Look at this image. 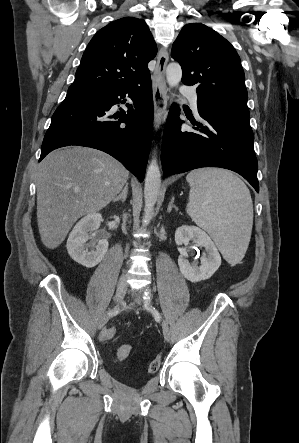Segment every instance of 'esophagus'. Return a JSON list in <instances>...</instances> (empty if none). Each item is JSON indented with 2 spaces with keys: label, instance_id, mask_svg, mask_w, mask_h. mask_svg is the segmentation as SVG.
Wrapping results in <instances>:
<instances>
[{
  "label": "esophagus",
  "instance_id": "1",
  "mask_svg": "<svg viewBox=\"0 0 299 443\" xmlns=\"http://www.w3.org/2000/svg\"><path fill=\"white\" fill-rule=\"evenodd\" d=\"M169 59L168 50L162 48L158 53L156 72L153 78L154 127L159 129L166 118L167 93L165 86V70Z\"/></svg>",
  "mask_w": 299,
  "mask_h": 443
}]
</instances>
